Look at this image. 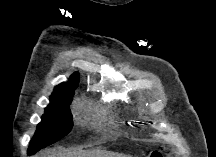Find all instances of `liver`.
<instances>
[{
    "label": "liver",
    "instance_id": "obj_1",
    "mask_svg": "<svg viewBox=\"0 0 216 157\" xmlns=\"http://www.w3.org/2000/svg\"><path fill=\"white\" fill-rule=\"evenodd\" d=\"M37 157H123L122 154L112 152H84V151H73V152H61L55 149L47 150L42 154H37Z\"/></svg>",
    "mask_w": 216,
    "mask_h": 157
}]
</instances>
